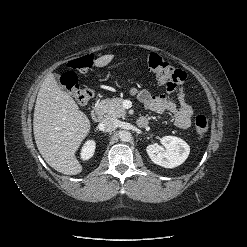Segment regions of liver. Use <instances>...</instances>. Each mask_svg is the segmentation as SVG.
Returning a JSON list of instances; mask_svg holds the SVG:
<instances>
[{
	"label": "liver",
	"instance_id": "liver-1",
	"mask_svg": "<svg viewBox=\"0 0 247 247\" xmlns=\"http://www.w3.org/2000/svg\"><path fill=\"white\" fill-rule=\"evenodd\" d=\"M115 56L103 55L94 61L96 67L108 65ZM87 115L75 100L57 85L49 74L39 89L33 118L37 148L44 160L56 171L77 175L82 165L75 153L90 132Z\"/></svg>",
	"mask_w": 247,
	"mask_h": 247
}]
</instances>
